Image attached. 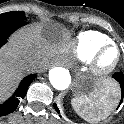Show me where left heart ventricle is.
I'll return each mask as SVG.
<instances>
[{"mask_svg":"<svg viewBox=\"0 0 124 124\" xmlns=\"http://www.w3.org/2000/svg\"><path fill=\"white\" fill-rule=\"evenodd\" d=\"M116 58H117V51L115 49H110L109 51L106 52V54L101 59V64L103 66L108 67L114 63Z\"/></svg>","mask_w":124,"mask_h":124,"instance_id":"left-heart-ventricle-1","label":"left heart ventricle"}]
</instances>
